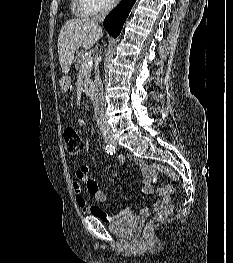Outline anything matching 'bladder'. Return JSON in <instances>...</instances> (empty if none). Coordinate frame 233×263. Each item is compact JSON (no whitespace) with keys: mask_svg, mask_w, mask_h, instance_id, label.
Masks as SVG:
<instances>
[{"mask_svg":"<svg viewBox=\"0 0 233 263\" xmlns=\"http://www.w3.org/2000/svg\"><path fill=\"white\" fill-rule=\"evenodd\" d=\"M139 218L133 214H124L117 220L110 222L109 230L118 237H130L138 226Z\"/></svg>","mask_w":233,"mask_h":263,"instance_id":"31cf9c89","label":"bladder"}]
</instances>
